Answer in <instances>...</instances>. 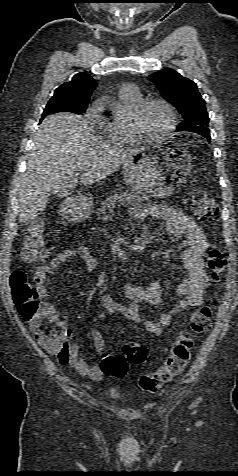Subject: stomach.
I'll list each match as a JSON object with an SVG mask.
<instances>
[{"label":"stomach","instance_id":"1","mask_svg":"<svg viewBox=\"0 0 238 476\" xmlns=\"http://www.w3.org/2000/svg\"><path fill=\"white\" fill-rule=\"evenodd\" d=\"M191 155L174 141L146 144L133 152V160L123 166L124 181L133 190L148 197H167L176 193L191 171ZM65 215L74 220L87 217L93 208L91 195L72 196Z\"/></svg>","mask_w":238,"mask_h":476}]
</instances>
